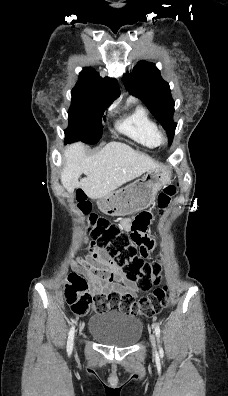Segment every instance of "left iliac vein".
I'll list each match as a JSON object with an SVG mask.
<instances>
[{"label":"left iliac vein","mask_w":228,"mask_h":396,"mask_svg":"<svg viewBox=\"0 0 228 396\" xmlns=\"http://www.w3.org/2000/svg\"><path fill=\"white\" fill-rule=\"evenodd\" d=\"M150 341H151V344H152L153 348H155L156 340H155L154 334H151V335H150Z\"/></svg>","instance_id":"1"}]
</instances>
